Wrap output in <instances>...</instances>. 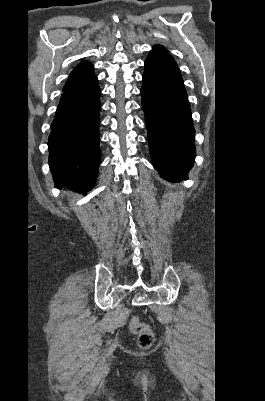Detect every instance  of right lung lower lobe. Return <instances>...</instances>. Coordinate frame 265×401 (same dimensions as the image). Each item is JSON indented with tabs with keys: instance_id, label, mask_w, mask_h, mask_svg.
<instances>
[{
	"instance_id": "right-lung-lower-lobe-1",
	"label": "right lung lower lobe",
	"mask_w": 265,
	"mask_h": 401,
	"mask_svg": "<svg viewBox=\"0 0 265 401\" xmlns=\"http://www.w3.org/2000/svg\"><path fill=\"white\" fill-rule=\"evenodd\" d=\"M99 96L97 81L61 95L48 139L56 186L84 192L95 184L100 162Z\"/></svg>"
}]
</instances>
